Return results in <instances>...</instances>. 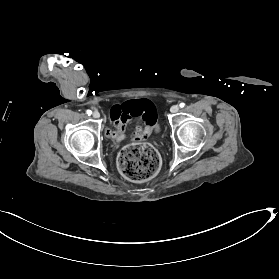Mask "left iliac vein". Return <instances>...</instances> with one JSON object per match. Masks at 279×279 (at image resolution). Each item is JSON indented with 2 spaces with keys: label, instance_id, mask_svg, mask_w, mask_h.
Here are the masks:
<instances>
[{
  "label": "left iliac vein",
  "instance_id": "4c4485c4",
  "mask_svg": "<svg viewBox=\"0 0 279 279\" xmlns=\"http://www.w3.org/2000/svg\"><path fill=\"white\" fill-rule=\"evenodd\" d=\"M170 111L172 113H177L179 111V106L178 105H173L171 108H170Z\"/></svg>",
  "mask_w": 279,
  "mask_h": 279
}]
</instances>
